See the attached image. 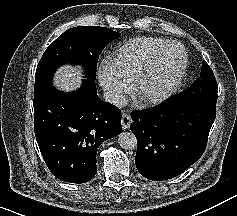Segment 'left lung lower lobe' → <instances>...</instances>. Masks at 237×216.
<instances>
[{"instance_id":"0a47b994","label":"left lung lower lobe","mask_w":237,"mask_h":216,"mask_svg":"<svg viewBox=\"0 0 237 216\" xmlns=\"http://www.w3.org/2000/svg\"><path fill=\"white\" fill-rule=\"evenodd\" d=\"M215 115L216 108L179 95L133 112L130 129L137 138L139 173L162 181L184 172L202 156Z\"/></svg>"}]
</instances>
